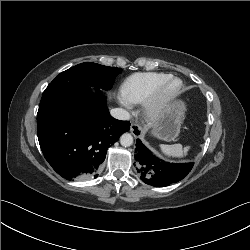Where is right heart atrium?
<instances>
[{"label":"right heart atrium","mask_w":250,"mask_h":250,"mask_svg":"<svg viewBox=\"0 0 250 250\" xmlns=\"http://www.w3.org/2000/svg\"><path fill=\"white\" fill-rule=\"evenodd\" d=\"M121 103H122L123 105H125V106H128V103L125 102L124 100H121Z\"/></svg>","instance_id":"right-heart-atrium-1"}]
</instances>
